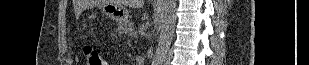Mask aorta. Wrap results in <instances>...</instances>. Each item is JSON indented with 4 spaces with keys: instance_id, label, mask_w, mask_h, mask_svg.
<instances>
[{
    "instance_id": "762f6f07",
    "label": "aorta",
    "mask_w": 309,
    "mask_h": 65,
    "mask_svg": "<svg viewBox=\"0 0 309 65\" xmlns=\"http://www.w3.org/2000/svg\"><path fill=\"white\" fill-rule=\"evenodd\" d=\"M175 23L176 0H161L157 15L159 41L152 65H163L173 39Z\"/></svg>"
}]
</instances>
